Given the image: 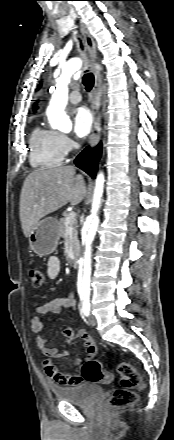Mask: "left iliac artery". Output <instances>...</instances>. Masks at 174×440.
Masks as SVG:
<instances>
[{
	"mask_svg": "<svg viewBox=\"0 0 174 440\" xmlns=\"http://www.w3.org/2000/svg\"><path fill=\"white\" fill-rule=\"evenodd\" d=\"M79 295H80V301H81V305H82V311L85 316H88L89 312H90V302H89L90 293L82 291L79 293Z\"/></svg>",
	"mask_w": 174,
	"mask_h": 440,
	"instance_id": "obj_1",
	"label": "left iliac artery"
}]
</instances>
